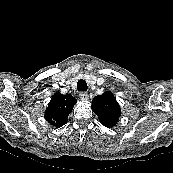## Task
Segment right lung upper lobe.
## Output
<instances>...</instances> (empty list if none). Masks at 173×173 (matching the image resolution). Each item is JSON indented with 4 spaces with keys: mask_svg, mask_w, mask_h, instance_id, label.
<instances>
[{
    "mask_svg": "<svg viewBox=\"0 0 173 173\" xmlns=\"http://www.w3.org/2000/svg\"><path fill=\"white\" fill-rule=\"evenodd\" d=\"M75 103L76 99L71 94L55 93L45 111L46 121L56 127L66 124L68 115Z\"/></svg>",
    "mask_w": 173,
    "mask_h": 173,
    "instance_id": "cb5924a9",
    "label": "right lung upper lobe"
}]
</instances>
